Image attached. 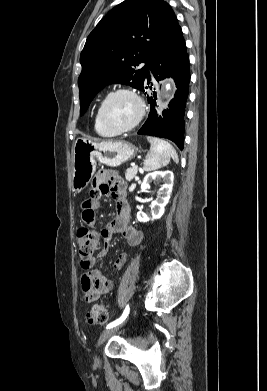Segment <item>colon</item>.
I'll use <instances>...</instances> for the list:
<instances>
[{"label": "colon", "instance_id": "5ec220e1", "mask_svg": "<svg viewBox=\"0 0 267 391\" xmlns=\"http://www.w3.org/2000/svg\"><path fill=\"white\" fill-rule=\"evenodd\" d=\"M78 252L81 262L87 265L101 246V235L87 227L77 231ZM108 319V310L102 304H95L86 315L89 324H103Z\"/></svg>", "mask_w": 267, "mask_h": 391}]
</instances>
